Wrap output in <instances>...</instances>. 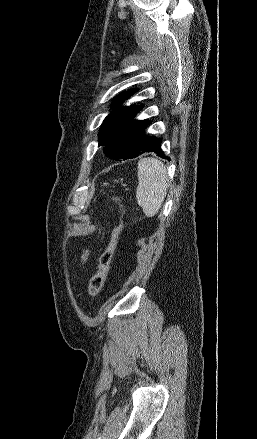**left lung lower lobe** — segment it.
<instances>
[{"mask_svg":"<svg viewBox=\"0 0 257 439\" xmlns=\"http://www.w3.org/2000/svg\"><path fill=\"white\" fill-rule=\"evenodd\" d=\"M147 126L148 123L145 124L144 129L140 135V138L134 150L125 158H123V160L138 157L146 152H154L162 158L169 159L164 155V152L160 148V144L162 140L160 138L150 137L145 134V129L147 128Z\"/></svg>","mask_w":257,"mask_h":439,"instance_id":"0a47b994","label":"left lung lower lobe"}]
</instances>
